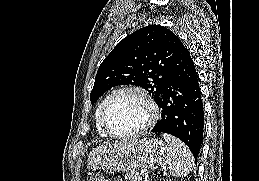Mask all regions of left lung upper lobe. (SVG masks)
<instances>
[{
  "label": "left lung upper lobe",
  "instance_id": "left-lung-upper-lobe-1",
  "mask_svg": "<svg viewBox=\"0 0 259 181\" xmlns=\"http://www.w3.org/2000/svg\"><path fill=\"white\" fill-rule=\"evenodd\" d=\"M178 37L160 25L143 27L121 40L101 63L90 94L91 103L112 87L136 85L157 101L174 69Z\"/></svg>",
  "mask_w": 259,
  "mask_h": 181
}]
</instances>
